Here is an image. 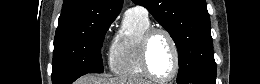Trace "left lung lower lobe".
<instances>
[{
	"label": "left lung lower lobe",
	"mask_w": 260,
	"mask_h": 84,
	"mask_svg": "<svg viewBox=\"0 0 260 84\" xmlns=\"http://www.w3.org/2000/svg\"><path fill=\"white\" fill-rule=\"evenodd\" d=\"M193 84H215V81H193Z\"/></svg>",
	"instance_id": "0a47b994"
}]
</instances>
